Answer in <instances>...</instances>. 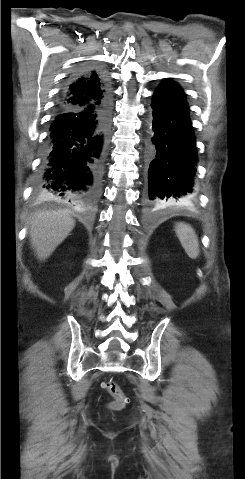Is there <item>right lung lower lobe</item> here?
<instances>
[{"label":"right lung lower lobe","mask_w":245,"mask_h":479,"mask_svg":"<svg viewBox=\"0 0 245 479\" xmlns=\"http://www.w3.org/2000/svg\"><path fill=\"white\" fill-rule=\"evenodd\" d=\"M90 71L76 72L65 85ZM110 95L84 107L60 106L52 118L35 182L39 199L90 210L99 196L110 128Z\"/></svg>","instance_id":"obj_1"}]
</instances>
